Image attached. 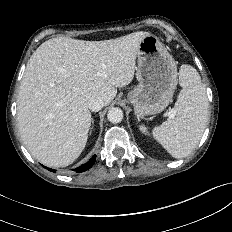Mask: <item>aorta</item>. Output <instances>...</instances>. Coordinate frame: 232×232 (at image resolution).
Listing matches in <instances>:
<instances>
[{"label": "aorta", "instance_id": "aorta-1", "mask_svg": "<svg viewBox=\"0 0 232 232\" xmlns=\"http://www.w3.org/2000/svg\"><path fill=\"white\" fill-rule=\"evenodd\" d=\"M107 117L111 123H120L123 119V111L118 107H113L108 111Z\"/></svg>", "mask_w": 232, "mask_h": 232}]
</instances>
